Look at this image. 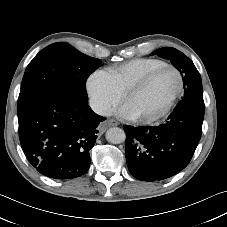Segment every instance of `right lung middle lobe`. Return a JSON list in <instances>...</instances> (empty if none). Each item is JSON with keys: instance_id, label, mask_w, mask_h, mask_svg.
<instances>
[{"instance_id": "1", "label": "right lung middle lobe", "mask_w": 227, "mask_h": 227, "mask_svg": "<svg viewBox=\"0 0 227 227\" xmlns=\"http://www.w3.org/2000/svg\"><path fill=\"white\" fill-rule=\"evenodd\" d=\"M101 63L65 42L47 46L26 68L18 110L46 96H63L88 103L86 80Z\"/></svg>"}]
</instances>
